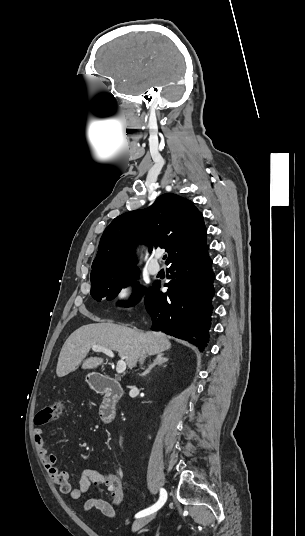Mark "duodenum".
<instances>
[{"instance_id":"1","label":"duodenum","mask_w":305,"mask_h":536,"mask_svg":"<svg viewBox=\"0 0 305 536\" xmlns=\"http://www.w3.org/2000/svg\"><path fill=\"white\" fill-rule=\"evenodd\" d=\"M93 389L103 394L100 405V418L103 423L111 424L117 416V404L122 396V388L113 377L95 375L92 379Z\"/></svg>"}]
</instances>
